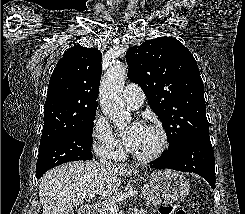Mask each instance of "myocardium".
<instances>
[{"mask_svg": "<svg viewBox=\"0 0 245 214\" xmlns=\"http://www.w3.org/2000/svg\"><path fill=\"white\" fill-rule=\"evenodd\" d=\"M146 127L158 133L160 136V145L155 151L149 154H137L128 149L130 156L141 162H151L158 159L163 155L169 146L168 134L162 126L158 124H148Z\"/></svg>", "mask_w": 245, "mask_h": 214, "instance_id": "myocardium-1", "label": "myocardium"}]
</instances>
